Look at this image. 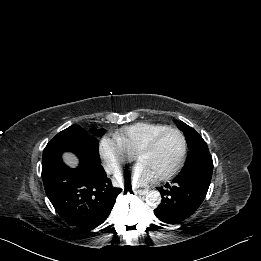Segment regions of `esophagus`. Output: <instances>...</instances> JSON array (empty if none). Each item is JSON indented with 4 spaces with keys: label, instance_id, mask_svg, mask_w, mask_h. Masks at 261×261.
<instances>
[{
    "label": "esophagus",
    "instance_id": "34e87169",
    "mask_svg": "<svg viewBox=\"0 0 261 261\" xmlns=\"http://www.w3.org/2000/svg\"><path fill=\"white\" fill-rule=\"evenodd\" d=\"M148 192V189H138L136 190V193L139 195H145Z\"/></svg>",
    "mask_w": 261,
    "mask_h": 261
}]
</instances>
